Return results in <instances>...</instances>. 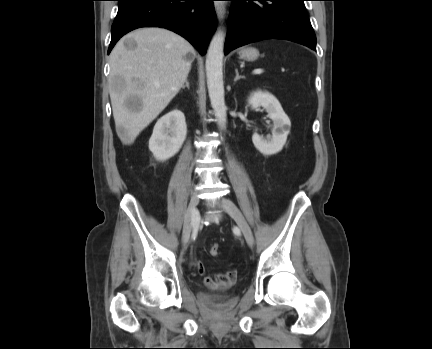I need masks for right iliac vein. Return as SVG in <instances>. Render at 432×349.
Returning a JSON list of instances; mask_svg holds the SVG:
<instances>
[{
	"label": "right iliac vein",
	"mask_w": 432,
	"mask_h": 349,
	"mask_svg": "<svg viewBox=\"0 0 432 349\" xmlns=\"http://www.w3.org/2000/svg\"><path fill=\"white\" fill-rule=\"evenodd\" d=\"M199 203V196L197 193H194L191 196L188 209L185 215L183 232H182V242L186 244L190 238L191 231L193 227L198 226L199 223V213L197 210V206Z\"/></svg>",
	"instance_id": "obj_1"
}]
</instances>
